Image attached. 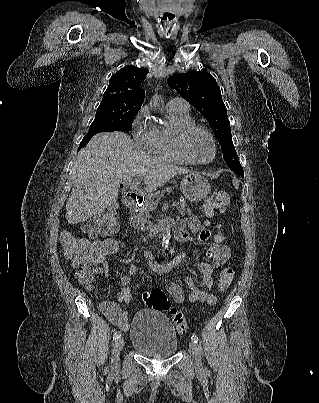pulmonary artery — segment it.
I'll use <instances>...</instances> for the list:
<instances>
[{
    "label": "pulmonary artery",
    "instance_id": "pulmonary-artery-1",
    "mask_svg": "<svg viewBox=\"0 0 319 403\" xmlns=\"http://www.w3.org/2000/svg\"><path fill=\"white\" fill-rule=\"evenodd\" d=\"M167 106H168V107L180 108V109H183V110H188V109H189L188 103H187L184 99H182V98H177V97H176V98H172V99L168 102Z\"/></svg>",
    "mask_w": 319,
    "mask_h": 403
}]
</instances>
